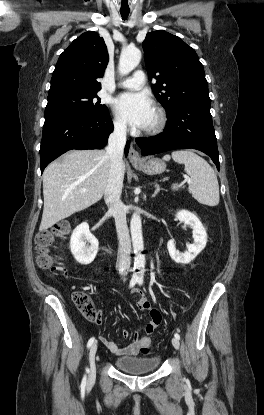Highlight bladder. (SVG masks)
Returning <instances> with one entry per match:
<instances>
[{"mask_svg":"<svg viewBox=\"0 0 264 415\" xmlns=\"http://www.w3.org/2000/svg\"><path fill=\"white\" fill-rule=\"evenodd\" d=\"M115 365L131 374H141L156 370L160 365L159 357H119L115 359Z\"/></svg>","mask_w":264,"mask_h":415,"instance_id":"obj_1","label":"bladder"}]
</instances>
